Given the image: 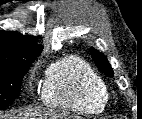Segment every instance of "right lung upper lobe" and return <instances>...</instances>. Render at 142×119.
Returning <instances> with one entry per match:
<instances>
[{"label":"right lung upper lobe","instance_id":"right-lung-upper-lobe-1","mask_svg":"<svg viewBox=\"0 0 142 119\" xmlns=\"http://www.w3.org/2000/svg\"><path fill=\"white\" fill-rule=\"evenodd\" d=\"M42 48L36 37L0 30V66L34 60Z\"/></svg>","mask_w":142,"mask_h":119}]
</instances>
